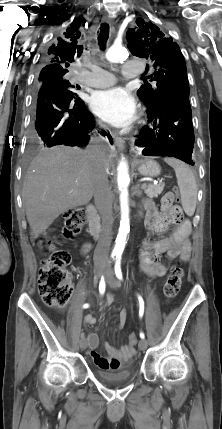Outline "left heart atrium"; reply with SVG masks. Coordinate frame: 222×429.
I'll list each match as a JSON object with an SVG mask.
<instances>
[{
  "mask_svg": "<svg viewBox=\"0 0 222 429\" xmlns=\"http://www.w3.org/2000/svg\"><path fill=\"white\" fill-rule=\"evenodd\" d=\"M91 105L102 120L114 126H125L132 122L136 115L133 98L121 87L97 92Z\"/></svg>",
  "mask_w": 222,
  "mask_h": 429,
  "instance_id": "39dd6f15",
  "label": "left heart atrium"
}]
</instances>
